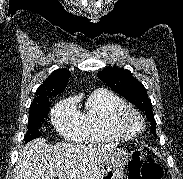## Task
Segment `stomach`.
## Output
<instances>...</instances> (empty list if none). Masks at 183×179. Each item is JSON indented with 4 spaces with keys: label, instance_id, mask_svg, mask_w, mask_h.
Instances as JSON below:
<instances>
[{
    "label": "stomach",
    "instance_id": "stomach-1",
    "mask_svg": "<svg viewBox=\"0 0 183 179\" xmlns=\"http://www.w3.org/2000/svg\"><path fill=\"white\" fill-rule=\"evenodd\" d=\"M129 158L130 155L126 150L115 149L104 162L96 179H123L124 167Z\"/></svg>",
    "mask_w": 183,
    "mask_h": 179
}]
</instances>
